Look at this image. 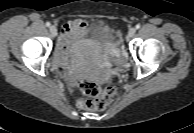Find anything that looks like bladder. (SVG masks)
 <instances>
[{
  "mask_svg": "<svg viewBox=\"0 0 194 133\" xmlns=\"http://www.w3.org/2000/svg\"><path fill=\"white\" fill-rule=\"evenodd\" d=\"M86 41L99 47L107 56L114 55L118 50V42L114 32L103 23H96L88 29Z\"/></svg>",
  "mask_w": 194,
  "mask_h": 133,
  "instance_id": "bladder-1",
  "label": "bladder"
}]
</instances>
